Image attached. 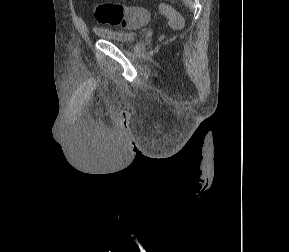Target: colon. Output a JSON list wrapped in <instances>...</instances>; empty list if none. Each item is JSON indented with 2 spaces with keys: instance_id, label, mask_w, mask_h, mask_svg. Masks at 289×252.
Wrapping results in <instances>:
<instances>
[{
  "instance_id": "colon-1",
  "label": "colon",
  "mask_w": 289,
  "mask_h": 252,
  "mask_svg": "<svg viewBox=\"0 0 289 252\" xmlns=\"http://www.w3.org/2000/svg\"><path fill=\"white\" fill-rule=\"evenodd\" d=\"M159 10L170 20L173 27L182 25V17L169 5L161 4ZM94 13L100 23L122 28H134L150 19V13L146 8L115 3H100L95 6Z\"/></svg>"
}]
</instances>
